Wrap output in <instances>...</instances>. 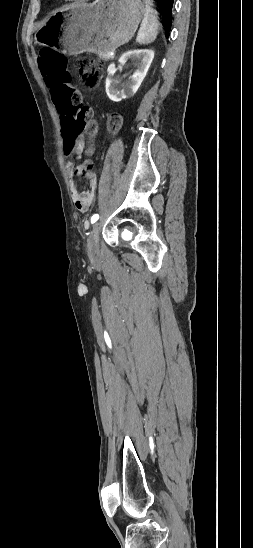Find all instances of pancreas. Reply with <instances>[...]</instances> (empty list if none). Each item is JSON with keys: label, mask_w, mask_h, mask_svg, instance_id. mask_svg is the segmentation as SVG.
Instances as JSON below:
<instances>
[{"label": "pancreas", "mask_w": 253, "mask_h": 548, "mask_svg": "<svg viewBox=\"0 0 253 548\" xmlns=\"http://www.w3.org/2000/svg\"><path fill=\"white\" fill-rule=\"evenodd\" d=\"M98 56L102 60H110V59L113 58L112 56H110V52L109 53H100V54H98Z\"/></svg>", "instance_id": "pancreas-1"}]
</instances>
